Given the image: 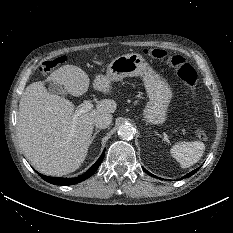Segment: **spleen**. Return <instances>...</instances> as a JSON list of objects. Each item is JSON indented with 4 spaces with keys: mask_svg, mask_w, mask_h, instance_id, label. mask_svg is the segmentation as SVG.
<instances>
[{
    "mask_svg": "<svg viewBox=\"0 0 233 233\" xmlns=\"http://www.w3.org/2000/svg\"><path fill=\"white\" fill-rule=\"evenodd\" d=\"M205 145L201 141L179 143L171 149L172 156L182 168H188L197 163L203 156Z\"/></svg>",
    "mask_w": 233,
    "mask_h": 233,
    "instance_id": "1",
    "label": "spleen"
}]
</instances>
